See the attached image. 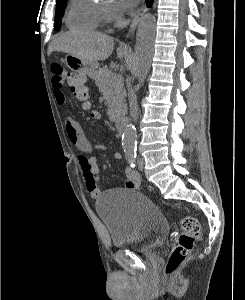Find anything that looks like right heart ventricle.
Wrapping results in <instances>:
<instances>
[{"instance_id": "e07e8e85", "label": "right heart ventricle", "mask_w": 245, "mask_h": 300, "mask_svg": "<svg viewBox=\"0 0 245 300\" xmlns=\"http://www.w3.org/2000/svg\"><path fill=\"white\" fill-rule=\"evenodd\" d=\"M104 11L94 0H71L66 24L72 30L94 31L103 21Z\"/></svg>"}]
</instances>
